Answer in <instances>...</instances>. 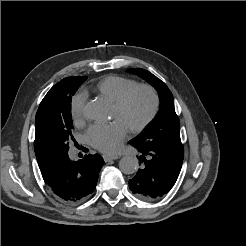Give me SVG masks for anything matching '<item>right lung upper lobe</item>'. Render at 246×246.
<instances>
[{
	"label": "right lung upper lobe",
	"mask_w": 246,
	"mask_h": 246,
	"mask_svg": "<svg viewBox=\"0 0 246 246\" xmlns=\"http://www.w3.org/2000/svg\"><path fill=\"white\" fill-rule=\"evenodd\" d=\"M78 77H82V76H73V77L62 79L59 83L54 85L47 94L51 93L52 90L55 87H57L59 84L69 81L74 78H78ZM41 103H40V106L38 108L36 118H35L36 134H35V141H34V150H35V155H36V159H37L39 167L43 166L46 163V161L50 159L46 146H45L44 139H43V114H42Z\"/></svg>",
	"instance_id": "right-lung-upper-lobe-1"
}]
</instances>
